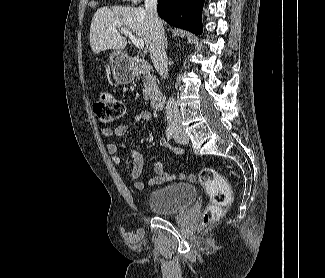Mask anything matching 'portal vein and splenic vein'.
I'll return each mask as SVG.
<instances>
[{
  "label": "portal vein and splenic vein",
  "mask_w": 325,
  "mask_h": 278,
  "mask_svg": "<svg viewBox=\"0 0 325 278\" xmlns=\"http://www.w3.org/2000/svg\"><path fill=\"white\" fill-rule=\"evenodd\" d=\"M120 32L126 36H128L131 41L134 43L135 47L138 49H144V41L139 37H135L134 33L126 28H122Z\"/></svg>",
  "instance_id": "18ae733b"
}]
</instances>
